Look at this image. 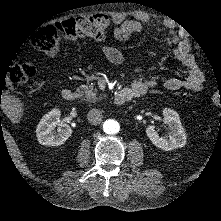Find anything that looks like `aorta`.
<instances>
[{
    "label": "aorta",
    "mask_w": 221,
    "mask_h": 221,
    "mask_svg": "<svg viewBox=\"0 0 221 221\" xmlns=\"http://www.w3.org/2000/svg\"><path fill=\"white\" fill-rule=\"evenodd\" d=\"M103 130L106 134H116L120 130V125L116 120L108 119L103 124Z\"/></svg>",
    "instance_id": "1"
}]
</instances>
